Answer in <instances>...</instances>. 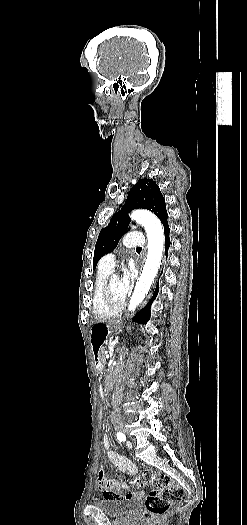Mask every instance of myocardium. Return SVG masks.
I'll use <instances>...</instances> for the list:
<instances>
[{
	"label": "myocardium",
	"instance_id": "f54148a6",
	"mask_svg": "<svg viewBox=\"0 0 247 525\" xmlns=\"http://www.w3.org/2000/svg\"><path fill=\"white\" fill-rule=\"evenodd\" d=\"M125 258L123 259V261L120 263V267H123V262H124ZM99 267H100V264H99ZM113 280V277L110 276L106 279V281L104 282V284L102 285V287L100 288V295L103 299V303L105 305H107V299L112 295L111 292H110V285H111V282ZM119 304H124V300H121V301H118Z\"/></svg>",
	"mask_w": 247,
	"mask_h": 525
}]
</instances>
